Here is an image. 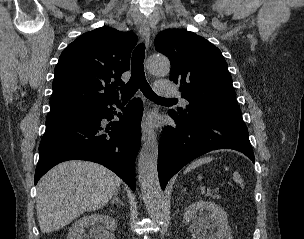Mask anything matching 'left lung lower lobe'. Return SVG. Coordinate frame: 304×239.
<instances>
[{
	"label": "left lung lower lobe",
	"mask_w": 304,
	"mask_h": 239,
	"mask_svg": "<svg viewBox=\"0 0 304 239\" xmlns=\"http://www.w3.org/2000/svg\"><path fill=\"white\" fill-rule=\"evenodd\" d=\"M174 126L164 128L159 144L158 175L161 188L193 159L216 149H234L255 163L243 120L224 117L182 118L169 110Z\"/></svg>",
	"instance_id": "left-lung-lower-lobe-1"
}]
</instances>
